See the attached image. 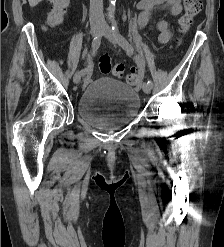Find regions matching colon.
<instances>
[{
    "instance_id": "5ec220e1",
    "label": "colon",
    "mask_w": 224,
    "mask_h": 247,
    "mask_svg": "<svg viewBox=\"0 0 224 247\" xmlns=\"http://www.w3.org/2000/svg\"><path fill=\"white\" fill-rule=\"evenodd\" d=\"M51 10L48 16V23L52 26L57 25L63 18L69 5V0H50ZM202 9V0H184V12L180 18L179 25L181 33H185L192 26L194 17ZM99 69L103 74L112 73L116 77H121L124 73L122 63L112 65L108 54H102L99 58ZM127 81L135 85L138 83V75L131 72L127 76Z\"/></svg>"
}]
</instances>
